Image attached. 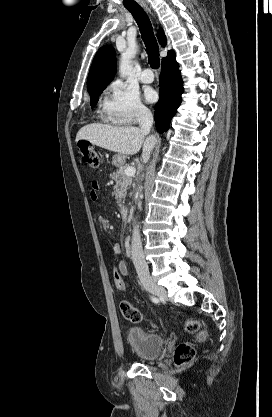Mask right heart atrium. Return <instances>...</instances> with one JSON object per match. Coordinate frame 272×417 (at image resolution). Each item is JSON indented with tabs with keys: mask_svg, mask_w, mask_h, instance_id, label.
Masks as SVG:
<instances>
[{
	"mask_svg": "<svg viewBox=\"0 0 272 417\" xmlns=\"http://www.w3.org/2000/svg\"><path fill=\"white\" fill-rule=\"evenodd\" d=\"M103 110L109 120L116 124H133L150 114L139 93L118 80L109 85Z\"/></svg>",
	"mask_w": 272,
	"mask_h": 417,
	"instance_id": "right-heart-atrium-1",
	"label": "right heart atrium"
}]
</instances>
